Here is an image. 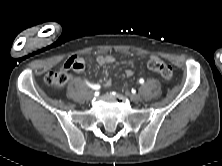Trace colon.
I'll list each match as a JSON object with an SVG mask.
<instances>
[{"mask_svg":"<svg viewBox=\"0 0 222 166\" xmlns=\"http://www.w3.org/2000/svg\"><path fill=\"white\" fill-rule=\"evenodd\" d=\"M147 67L150 71L158 74L162 78L169 80L173 76V69L171 65L165 63L164 61L158 58H151L148 63ZM69 79V74L65 70H60L56 72H49L45 75L44 81L46 84L61 87L67 83Z\"/></svg>","mask_w":222,"mask_h":166,"instance_id":"5ec220e1","label":"colon"}]
</instances>
